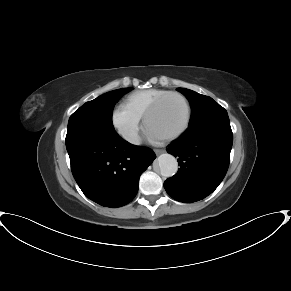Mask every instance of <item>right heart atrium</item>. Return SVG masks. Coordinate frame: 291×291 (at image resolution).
<instances>
[{
	"instance_id": "obj_1",
	"label": "right heart atrium",
	"mask_w": 291,
	"mask_h": 291,
	"mask_svg": "<svg viewBox=\"0 0 291 291\" xmlns=\"http://www.w3.org/2000/svg\"><path fill=\"white\" fill-rule=\"evenodd\" d=\"M112 125L123 139L134 143L141 128V117L126 105L120 104L113 110Z\"/></svg>"
}]
</instances>
